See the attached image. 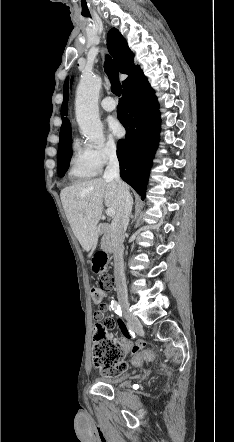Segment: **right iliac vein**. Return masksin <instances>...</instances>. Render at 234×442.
Wrapping results in <instances>:
<instances>
[{
    "label": "right iliac vein",
    "instance_id": "right-iliac-vein-1",
    "mask_svg": "<svg viewBox=\"0 0 234 442\" xmlns=\"http://www.w3.org/2000/svg\"><path fill=\"white\" fill-rule=\"evenodd\" d=\"M120 305L123 309L124 315L129 323L134 329L140 327L139 319L129 310V303L127 300H121Z\"/></svg>",
    "mask_w": 234,
    "mask_h": 442
}]
</instances>
